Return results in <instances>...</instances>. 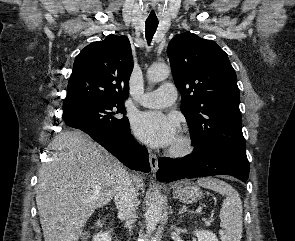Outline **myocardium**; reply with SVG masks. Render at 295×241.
Returning <instances> with one entry per match:
<instances>
[{"label":"myocardium","mask_w":295,"mask_h":241,"mask_svg":"<svg viewBox=\"0 0 295 241\" xmlns=\"http://www.w3.org/2000/svg\"><path fill=\"white\" fill-rule=\"evenodd\" d=\"M196 143L189 134L181 135L174 145L170 148L169 154L174 158H185L194 153Z\"/></svg>","instance_id":"myocardium-1"}]
</instances>
